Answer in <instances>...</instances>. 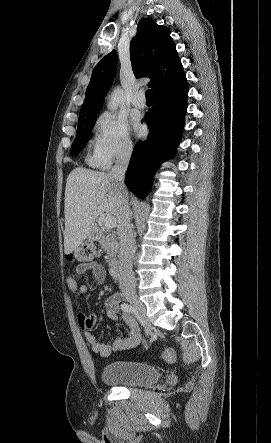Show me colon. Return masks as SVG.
<instances>
[{
    "mask_svg": "<svg viewBox=\"0 0 271 443\" xmlns=\"http://www.w3.org/2000/svg\"><path fill=\"white\" fill-rule=\"evenodd\" d=\"M96 257V249L91 243H83L78 248L70 252L66 258L70 262L90 263ZM163 359L166 362H173L175 352L172 348H168L163 353Z\"/></svg>",
    "mask_w": 271,
    "mask_h": 443,
    "instance_id": "5ec220e1",
    "label": "colon"
}]
</instances>
